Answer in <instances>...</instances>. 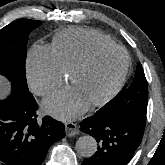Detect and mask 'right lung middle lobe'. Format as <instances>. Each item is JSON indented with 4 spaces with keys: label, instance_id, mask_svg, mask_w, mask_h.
<instances>
[{
    "label": "right lung middle lobe",
    "instance_id": "dd1d6c3e",
    "mask_svg": "<svg viewBox=\"0 0 165 165\" xmlns=\"http://www.w3.org/2000/svg\"><path fill=\"white\" fill-rule=\"evenodd\" d=\"M41 23L18 19L0 30V74L24 88H28L25 73L28 37Z\"/></svg>",
    "mask_w": 165,
    "mask_h": 165
}]
</instances>
